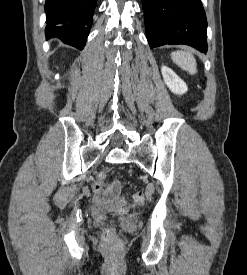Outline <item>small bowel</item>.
<instances>
[{"instance_id":"c3829d8e","label":"small bowel","mask_w":247,"mask_h":275,"mask_svg":"<svg viewBox=\"0 0 247 275\" xmlns=\"http://www.w3.org/2000/svg\"><path fill=\"white\" fill-rule=\"evenodd\" d=\"M95 200L106 209L122 210L126 203L119 195V185L113 183L98 190L94 186Z\"/></svg>"}]
</instances>
